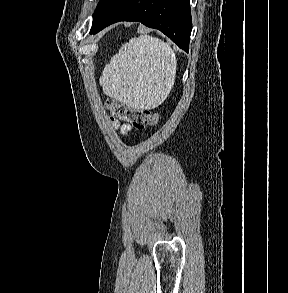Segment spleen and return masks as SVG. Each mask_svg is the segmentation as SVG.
<instances>
[{
  "instance_id": "obj_1",
  "label": "spleen",
  "mask_w": 288,
  "mask_h": 293,
  "mask_svg": "<svg viewBox=\"0 0 288 293\" xmlns=\"http://www.w3.org/2000/svg\"><path fill=\"white\" fill-rule=\"evenodd\" d=\"M176 55L159 38L141 35L122 45L106 65L100 84L104 93L128 106L151 109L170 93L176 77Z\"/></svg>"
}]
</instances>
